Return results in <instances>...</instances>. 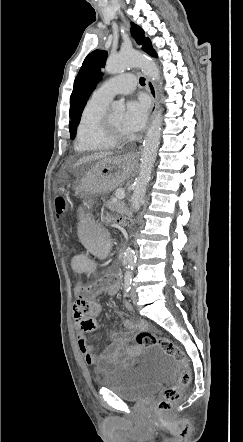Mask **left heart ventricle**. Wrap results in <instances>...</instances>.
<instances>
[{
    "label": "left heart ventricle",
    "instance_id": "obj_1",
    "mask_svg": "<svg viewBox=\"0 0 243 442\" xmlns=\"http://www.w3.org/2000/svg\"><path fill=\"white\" fill-rule=\"evenodd\" d=\"M109 117V120L112 124V127L114 129V131L119 134V135H127L126 130L124 129L123 126V118L124 115L123 113H116V114H112Z\"/></svg>",
    "mask_w": 243,
    "mask_h": 442
}]
</instances>
